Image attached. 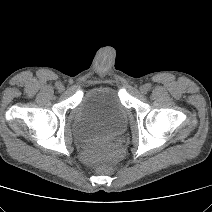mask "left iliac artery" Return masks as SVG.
I'll list each match as a JSON object with an SVG mask.
<instances>
[{
    "label": "left iliac artery",
    "mask_w": 212,
    "mask_h": 212,
    "mask_svg": "<svg viewBox=\"0 0 212 212\" xmlns=\"http://www.w3.org/2000/svg\"><path fill=\"white\" fill-rule=\"evenodd\" d=\"M146 86H147L148 89H151V85L150 84H147Z\"/></svg>",
    "instance_id": "44dca946"
}]
</instances>
